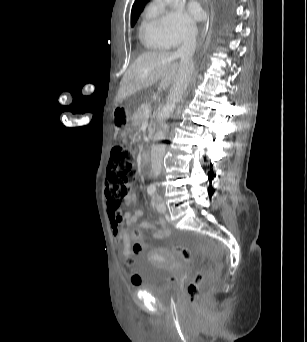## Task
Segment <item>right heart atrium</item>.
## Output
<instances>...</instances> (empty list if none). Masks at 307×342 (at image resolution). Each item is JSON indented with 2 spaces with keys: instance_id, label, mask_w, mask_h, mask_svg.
Segmentation results:
<instances>
[{
  "instance_id": "1",
  "label": "right heart atrium",
  "mask_w": 307,
  "mask_h": 342,
  "mask_svg": "<svg viewBox=\"0 0 307 342\" xmlns=\"http://www.w3.org/2000/svg\"><path fill=\"white\" fill-rule=\"evenodd\" d=\"M193 32L190 25L183 22L180 14L174 10L159 12L154 18L151 29L144 34L158 40L167 47H176L183 38Z\"/></svg>"
}]
</instances>
